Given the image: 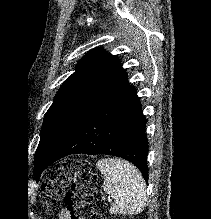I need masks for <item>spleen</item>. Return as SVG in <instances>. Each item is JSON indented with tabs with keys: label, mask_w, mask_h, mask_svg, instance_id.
I'll return each instance as SVG.
<instances>
[{
	"label": "spleen",
	"mask_w": 211,
	"mask_h": 219,
	"mask_svg": "<svg viewBox=\"0 0 211 219\" xmlns=\"http://www.w3.org/2000/svg\"><path fill=\"white\" fill-rule=\"evenodd\" d=\"M96 165L104 176L103 190L114 199L110 214L132 215L142 212L147 197L145 182L138 170L116 158L101 159Z\"/></svg>",
	"instance_id": "3e777b00"
}]
</instances>
